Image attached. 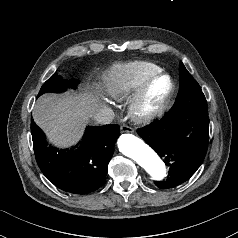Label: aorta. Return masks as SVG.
I'll return each instance as SVG.
<instances>
[{"instance_id":"aorta-1","label":"aorta","mask_w":238,"mask_h":238,"mask_svg":"<svg viewBox=\"0 0 238 238\" xmlns=\"http://www.w3.org/2000/svg\"><path fill=\"white\" fill-rule=\"evenodd\" d=\"M119 151L133 159L154 180H162L166 176V166L156 152L133 134H122L118 139Z\"/></svg>"}]
</instances>
